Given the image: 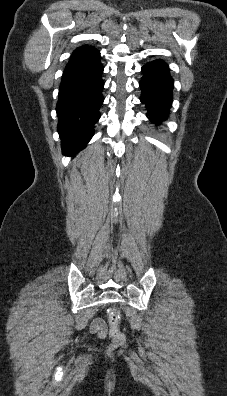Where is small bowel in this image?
Segmentation results:
<instances>
[{
  "label": "small bowel",
  "mask_w": 227,
  "mask_h": 396,
  "mask_svg": "<svg viewBox=\"0 0 227 396\" xmlns=\"http://www.w3.org/2000/svg\"><path fill=\"white\" fill-rule=\"evenodd\" d=\"M90 332L102 338L106 335V324L102 319H95L90 325Z\"/></svg>",
  "instance_id": "1"
}]
</instances>
